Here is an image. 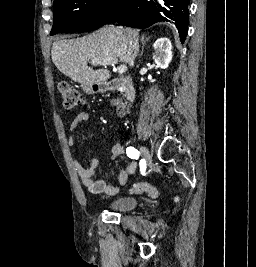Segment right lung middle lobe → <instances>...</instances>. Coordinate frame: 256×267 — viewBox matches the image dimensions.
Here are the masks:
<instances>
[{
  "instance_id": "right-lung-middle-lobe-1",
  "label": "right lung middle lobe",
  "mask_w": 256,
  "mask_h": 267,
  "mask_svg": "<svg viewBox=\"0 0 256 267\" xmlns=\"http://www.w3.org/2000/svg\"><path fill=\"white\" fill-rule=\"evenodd\" d=\"M131 0H57L50 35L93 31L121 17Z\"/></svg>"
}]
</instances>
